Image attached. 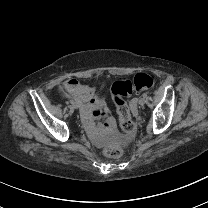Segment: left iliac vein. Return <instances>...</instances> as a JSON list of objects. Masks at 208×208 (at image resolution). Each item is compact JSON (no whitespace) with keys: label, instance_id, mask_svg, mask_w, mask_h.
<instances>
[{"label":"left iliac vein","instance_id":"obj_1","mask_svg":"<svg viewBox=\"0 0 208 208\" xmlns=\"http://www.w3.org/2000/svg\"><path fill=\"white\" fill-rule=\"evenodd\" d=\"M145 102H146V99H145L144 97H141V98L139 99V105H144Z\"/></svg>","mask_w":208,"mask_h":208}]
</instances>
